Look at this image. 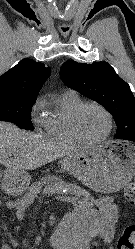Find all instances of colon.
Here are the masks:
<instances>
[{
    "label": "colon",
    "instance_id": "colon-1",
    "mask_svg": "<svg viewBox=\"0 0 135 249\" xmlns=\"http://www.w3.org/2000/svg\"><path fill=\"white\" fill-rule=\"evenodd\" d=\"M124 196L129 204L135 205V179L126 186ZM116 248L135 249V225L127 226L124 229L117 240Z\"/></svg>",
    "mask_w": 135,
    "mask_h": 249
}]
</instances>
